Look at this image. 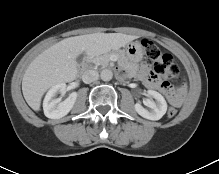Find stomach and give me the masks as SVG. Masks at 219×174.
<instances>
[{
    "mask_svg": "<svg viewBox=\"0 0 219 174\" xmlns=\"http://www.w3.org/2000/svg\"><path fill=\"white\" fill-rule=\"evenodd\" d=\"M124 54L130 62H139L143 58V46L138 42H130L124 48Z\"/></svg>",
    "mask_w": 219,
    "mask_h": 174,
    "instance_id": "1",
    "label": "stomach"
}]
</instances>
